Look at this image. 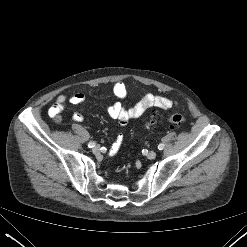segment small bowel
I'll return each mask as SVG.
<instances>
[{"mask_svg":"<svg viewBox=\"0 0 247 247\" xmlns=\"http://www.w3.org/2000/svg\"><path fill=\"white\" fill-rule=\"evenodd\" d=\"M112 91L119 100L124 99L127 95V88L123 82H116L113 85ZM67 101L74 105H81L85 102V96L82 93H75L70 97L64 94L59 95L56 98V102L49 109L50 115L55 116L59 114L65 108V104ZM174 105H176V102L167 97L147 93L131 107H125L121 103V101H117L106 108L105 111L109 117L116 119L120 123V125L124 126L130 120L141 117L145 113V111L151 107L167 110ZM72 118L76 122H81L83 120V115L79 112H76L73 114ZM122 141L123 136L119 134L109 150L110 156H113L118 152Z\"/></svg>","mask_w":247,"mask_h":247,"instance_id":"small-bowel-1","label":"small bowel"}]
</instances>
